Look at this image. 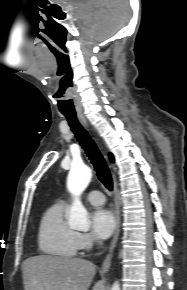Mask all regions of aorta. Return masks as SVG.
<instances>
[{
    "mask_svg": "<svg viewBox=\"0 0 187 290\" xmlns=\"http://www.w3.org/2000/svg\"><path fill=\"white\" fill-rule=\"evenodd\" d=\"M92 171L85 165L73 166L67 179L68 191L73 196V203L69 212L68 224L72 229L87 231L90 227L88 212L80 201V195L88 186ZM110 290H120L118 281L114 282Z\"/></svg>",
    "mask_w": 187,
    "mask_h": 290,
    "instance_id": "aorta-1",
    "label": "aorta"
}]
</instances>
